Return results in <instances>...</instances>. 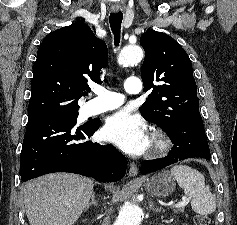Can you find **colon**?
I'll return each mask as SVG.
<instances>
[{"label":"colon","instance_id":"obj_1","mask_svg":"<svg viewBox=\"0 0 237 225\" xmlns=\"http://www.w3.org/2000/svg\"><path fill=\"white\" fill-rule=\"evenodd\" d=\"M195 225H211V220L208 216H197L195 218Z\"/></svg>","mask_w":237,"mask_h":225}]
</instances>
